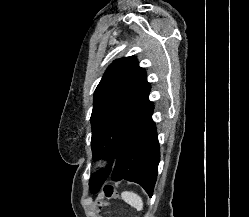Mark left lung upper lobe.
<instances>
[{
  "label": "left lung upper lobe",
  "instance_id": "5c2ea615",
  "mask_svg": "<svg viewBox=\"0 0 249 217\" xmlns=\"http://www.w3.org/2000/svg\"><path fill=\"white\" fill-rule=\"evenodd\" d=\"M149 92L146 71L134 56L118 59L108 67L94 93L91 115L94 160L108 158L113 162L122 122ZM110 169L104 171L109 174ZM97 188L91 180V191Z\"/></svg>",
  "mask_w": 249,
  "mask_h": 217
}]
</instances>
